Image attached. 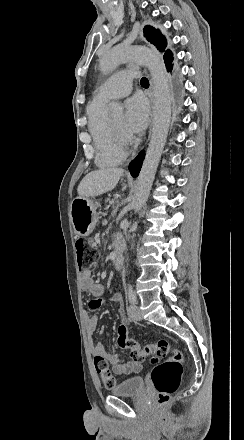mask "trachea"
<instances>
[{
    "label": "trachea",
    "instance_id": "trachea-1",
    "mask_svg": "<svg viewBox=\"0 0 244 440\" xmlns=\"http://www.w3.org/2000/svg\"><path fill=\"white\" fill-rule=\"evenodd\" d=\"M141 85L143 87H147L149 85V81L146 77L141 78Z\"/></svg>",
    "mask_w": 244,
    "mask_h": 440
}]
</instances>
